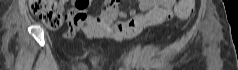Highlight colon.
I'll return each instance as SVG.
<instances>
[{"label":"colon","instance_id":"1","mask_svg":"<svg viewBox=\"0 0 238 70\" xmlns=\"http://www.w3.org/2000/svg\"><path fill=\"white\" fill-rule=\"evenodd\" d=\"M108 2L116 3L117 1L110 0ZM194 4V0H179V3L174 9L172 15L180 19H186L192 15L194 11ZM29 5L32 13L36 15L48 28L57 29L62 25L64 21V12L59 7L57 1L30 0Z\"/></svg>","mask_w":238,"mask_h":70}]
</instances>
